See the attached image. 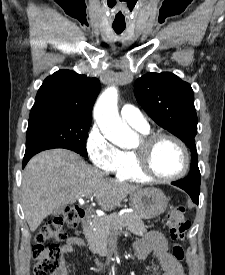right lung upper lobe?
Returning a JSON list of instances; mask_svg holds the SVG:
<instances>
[{
    "instance_id": "obj_1",
    "label": "right lung upper lobe",
    "mask_w": 225,
    "mask_h": 275,
    "mask_svg": "<svg viewBox=\"0 0 225 275\" xmlns=\"http://www.w3.org/2000/svg\"><path fill=\"white\" fill-rule=\"evenodd\" d=\"M97 78L70 70H59L47 77L36 95L30 118L39 116H77L90 118L100 92Z\"/></svg>"
}]
</instances>
